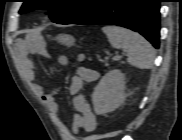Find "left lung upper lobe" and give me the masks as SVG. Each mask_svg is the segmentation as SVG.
Wrapping results in <instances>:
<instances>
[{"label": "left lung upper lobe", "mask_w": 182, "mask_h": 140, "mask_svg": "<svg viewBox=\"0 0 182 140\" xmlns=\"http://www.w3.org/2000/svg\"><path fill=\"white\" fill-rule=\"evenodd\" d=\"M101 0H23L19 13L50 9V17L58 24H71L90 12Z\"/></svg>", "instance_id": "obj_1"}]
</instances>
